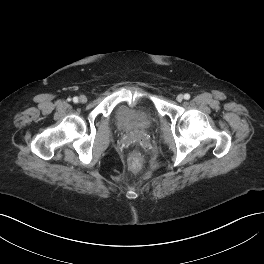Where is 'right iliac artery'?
I'll list each match as a JSON object with an SVG mask.
<instances>
[{
  "instance_id": "1",
  "label": "right iliac artery",
  "mask_w": 264,
  "mask_h": 264,
  "mask_svg": "<svg viewBox=\"0 0 264 264\" xmlns=\"http://www.w3.org/2000/svg\"><path fill=\"white\" fill-rule=\"evenodd\" d=\"M73 102L77 103L78 102V98L77 97H74L73 98Z\"/></svg>"
}]
</instances>
